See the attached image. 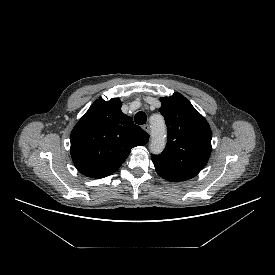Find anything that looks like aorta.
<instances>
[{
  "label": "aorta",
  "mask_w": 275,
  "mask_h": 275,
  "mask_svg": "<svg viewBox=\"0 0 275 275\" xmlns=\"http://www.w3.org/2000/svg\"><path fill=\"white\" fill-rule=\"evenodd\" d=\"M165 146V129L164 123L161 119L157 123H153L152 125V142L151 149L155 153H159Z\"/></svg>",
  "instance_id": "aorta-1"
}]
</instances>
